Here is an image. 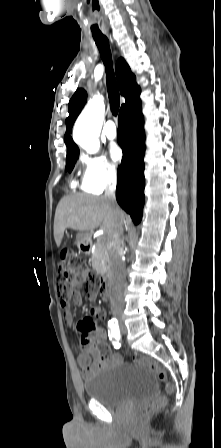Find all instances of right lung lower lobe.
<instances>
[{"mask_svg":"<svg viewBox=\"0 0 221 448\" xmlns=\"http://www.w3.org/2000/svg\"><path fill=\"white\" fill-rule=\"evenodd\" d=\"M143 125L140 99L120 110L117 139L123 150V158L118 167L116 199L135 224L141 221L145 200Z\"/></svg>","mask_w":221,"mask_h":448,"instance_id":"right-lung-lower-lobe-1","label":"right lung lower lobe"}]
</instances>
